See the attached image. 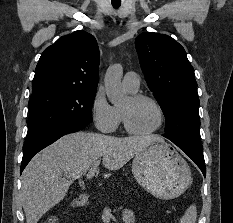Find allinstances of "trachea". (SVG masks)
<instances>
[{"instance_id":"trachea-1","label":"trachea","mask_w":233,"mask_h":223,"mask_svg":"<svg viewBox=\"0 0 233 223\" xmlns=\"http://www.w3.org/2000/svg\"><path fill=\"white\" fill-rule=\"evenodd\" d=\"M114 8L120 7V4H112Z\"/></svg>"}]
</instances>
